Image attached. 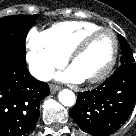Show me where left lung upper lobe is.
<instances>
[{"label": "left lung upper lobe", "mask_w": 136, "mask_h": 136, "mask_svg": "<svg viewBox=\"0 0 136 136\" xmlns=\"http://www.w3.org/2000/svg\"><path fill=\"white\" fill-rule=\"evenodd\" d=\"M118 39L122 48L121 65L128 64V63H135V59L133 57L132 51L127 41L121 35H118Z\"/></svg>", "instance_id": "obj_1"}]
</instances>
